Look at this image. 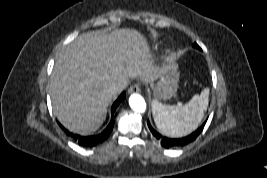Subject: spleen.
I'll return each mask as SVG.
<instances>
[{
	"mask_svg": "<svg viewBox=\"0 0 267 178\" xmlns=\"http://www.w3.org/2000/svg\"><path fill=\"white\" fill-rule=\"evenodd\" d=\"M209 103V89L194 95L183 106L165 105L152 101V114L158 130L168 137H182L197 129Z\"/></svg>",
	"mask_w": 267,
	"mask_h": 178,
	"instance_id": "obj_1",
	"label": "spleen"
}]
</instances>
